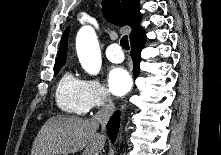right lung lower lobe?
<instances>
[{"instance_id":"right-lung-lower-lobe-1","label":"right lung lower lobe","mask_w":221,"mask_h":155,"mask_svg":"<svg viewBox=\"0 0 221 155\" xmlns=\"http://www.w3.org/2000/svg\"><path fill=\"white\" fill-rule=\"evenodd\" d=\"M130 41H131V57L133 60V75L137 77L140 72L139 65H140L141 50L146 41V36L144 31L142 30ZM119 123H120V111H117L111 117V119L107 124L108 135L112 142H114L115 137L118 133Z\"/></svg>"}]
</instances>
